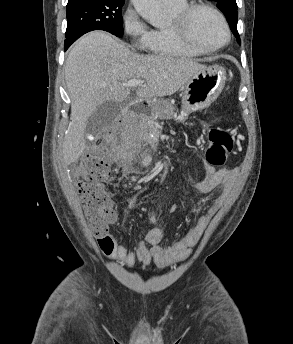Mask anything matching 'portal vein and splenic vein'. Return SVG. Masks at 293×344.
Wrapping results in <instances>:
<instances>
[{
    "instance_id": "obj_1",
    "label": "portal vein and splenic vein",
    "mask_w": 293,
    "mask_h": 344,
    "mask_svg": "<svg viewBox=\"0 0 293 344\" xmlns=\"http://www.w3.org/2000/svg\"><path fill=\"white\" fill-rule=\"evenodd\" d=\"M143 81L141 80H137V79H131L128 82L124 83V86H128V87H136L138 85H142Z\"/></svg>"
}]
</instances>
